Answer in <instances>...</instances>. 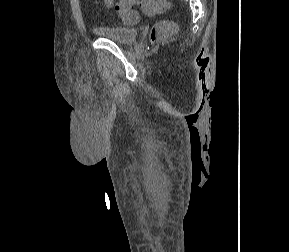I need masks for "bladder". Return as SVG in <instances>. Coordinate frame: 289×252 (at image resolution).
<instances>
[{"mask_svg": "<svg viewBox=\"0 0 289 252\" xmlns=\"http://www.w3.org/2000/svg\"><path fill=\"white\" fill-rule=\"evenodd\" d=\"M94 32L110 41L118 43H133L138 35V31L134 27L129 26H98L94 28Z\"/></svg>", "mask_w": 289, "mask_h": 252, "instance_id": "1", "label": "bladder"}]
</instances>
